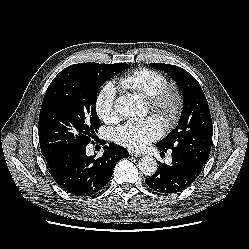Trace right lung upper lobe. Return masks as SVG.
Here are the masks:
<instances>
[{
    "label": "right lung upper lobe",
    "mask_w": 249,
    "mask_h": 249,
    "mask_svg": "<svg viewBox=\"0 0 249 249\" xmlns=\"http://www.w3.org/2000/svg\"><path fill=\"white\" fill-rule=\"evenodd\" d=\"M61 158H63V157H52V158H47L46 161H47L48 165H53V164L57 163Z\"/></svg>",
    "instance_id": "1"
}]
</instances>
